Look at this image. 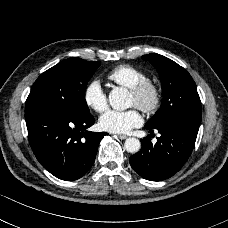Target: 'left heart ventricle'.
<instances>
[{
	"instance_id": "1",
	"label": "left heart ventricle",
	"mask_w": 228,
	"mask_h": 228,
	"mask_svg": "<svg viewBox=\"0 0 228 228\" xmlns=\"http://www.w3.org/2000/svg\"><path fill=\"white\" fill-rule=\"evenodd\" d=\"M130 100H131V105H135L136 104V98L135 96H133L132 94H130Z\"/></svg>"
}]
</instances>
